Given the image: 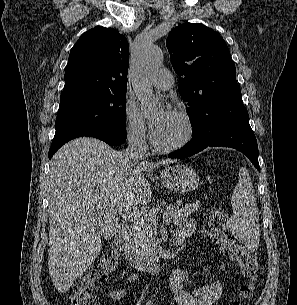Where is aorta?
<instances>
[{
	"instance_id": "aorta-1",
	"label": "aorta",
	"mask_w": 297,
	"mask_h": 305,
	"mask_svg": "<svg viewBox=\"0 0 297 305\" xmlns=\"http://www.w3.org/2000/svg\"><path fill=\"white\" fill-rule=\"evenodd\" d=\"M163 60L162 50L155 45L146 46L135 64L132 85L145 113L155 110L157 101L153 96L151 78Z\"/></svg>"
}]
</instances>
